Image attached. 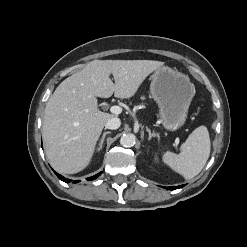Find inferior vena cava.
<instances>
[{
    "label": "inferior vena cava",
    "mask_w": 247,
    "mask_h": 247,
    "mask_svg": "<svg viewBox=\"0 0 247 247\" xmlns=\"http://www.w3.org/2000/svg\"><path fill=\"white\" fill-rule=\"evenodd\" d=\"M120 125H121L120 119L117 117H112L106 122L105 127L107 129L116 130L120 127Z\"/></svg>",
    "instance_id": "1"
}]
</instances>
